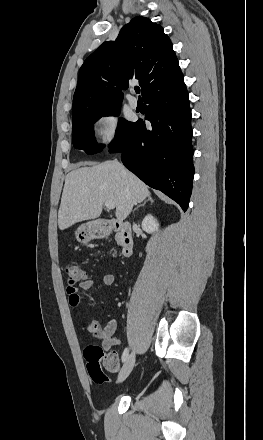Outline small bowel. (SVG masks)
Wrapping results in <instances>:
<instances>
[{
    "label": "small bowel",
    "mask_w": 263,
    "mask_h": 440,
    "mask_svg": "<svg viewBox=\"0 0 263 440\" xmlns=\"http://www.w3.org/2000/svg\"><path fill=\"white\" fill-rule=\"evenodd\" d=\"M101 283L105 286H111L115 283V275L112 273L104 274L101 277ZM95 286L94 279H86L79 286H69L67 293L69 295V303L73 308L80 305L79 289L91 290ZM117 323L115 319H110L105 326L101 325L99 320L89 321L85 325L86 332L96 335L100 340L102 347L109 350L120 345V339L115 336Z\"/></svg>",
    "instance_id": "small-bowel-1"
}]
</instances>
